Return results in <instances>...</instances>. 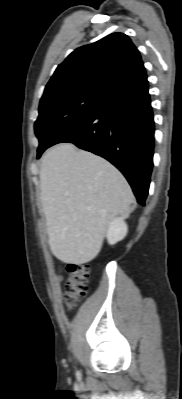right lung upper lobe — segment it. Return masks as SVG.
Segmentation results:
<instances>
[{"mask_svg": "<svg viewBox=\"0 0 182 399\" xmlns=\"http://www.w3.org/2000/svg\"><path fill=\"white\" fill-rule=\"evenodd\" d=\"M146 82L135 45L127 35L113 33L74 50L55 70L41 101L80 93L106 98Z\"/></svg>", "mask_w": 182, "mask_h": 399, "instance_id": "right-lung-upper-lobe-1", "label": "right lung upper lobe"}]
</instances>
